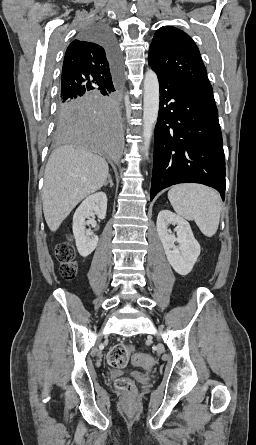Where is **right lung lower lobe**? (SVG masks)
Here are the masks:
<instances>
[{
  "instance_id": "1",
  "label": "right lung lower lobe",
  "mask_w": 256,
  "mask_h": 445,
  "mask_svg": "<svg viewBox=\"0 0 256 445\" xmlns=\"http://www.w3.org/2000/svg\"><path fill=\"white\" fill-rule=\"evenodd\" d=\"M82 33L105 49L114 69L119 71V49L107 27L93 23ZM118 90L114 84L108 90L59 101L58 140L90 150L110 161L119 160L123 146Z\"/></svg>"
}]
</instances>
